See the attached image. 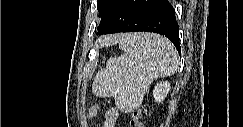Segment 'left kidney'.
<instances>
[{
	"mask_svg": "<svg viewBox=\"0 0 243 127\" xmlns=\"http://www.w3.org/2000/svg\"><path fill=\"white\" fill-rule=\"evenodd\" d=\"M169 91L170 83L168 81L157 83L153 90L155 101L158 103L162 102L166 98Z\"/></svg>",
	"mask_w": 243,
	"mask_h": 127,
	"instance_id": "5707ae66",
	"label": "left kidney"
}]
</instances>
